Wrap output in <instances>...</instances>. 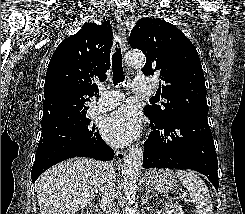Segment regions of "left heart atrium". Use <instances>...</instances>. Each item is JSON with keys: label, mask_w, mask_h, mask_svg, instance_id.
Listing matches in <instances>:
<instances>
[{"label": "left heart atrium", "mask_w": 245, "mask_h": 214, "mask_svg": "<svg viewBox=\"0 0 245 214\" xmlns=\"http://www.w3.org/2000/svg\"><path fill=\"white\" fill-rule=\"evenodd\" d=\"M140 125L136 112L129 106H122L109 114L101 123L105 140L117 147L125 146L139 133Z\"/></svg>", "instance_id": "1"}]
</instances>
